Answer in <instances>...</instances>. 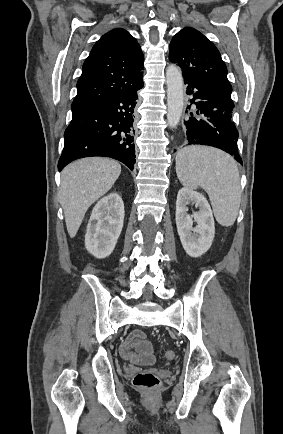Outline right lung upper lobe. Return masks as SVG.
<instances>
[{"instance_id": "obj_1", "label": "right lung upper lobe", "mask_w": 283, "mask_h": 434, "mask_svg": "<svg viewBox=\"0 0 283 434\" xmlns=\"http://www.w3.org/2000/svg\"><path fill=\"white\" fill-rule=\"evenodd\" d=\"M143 61L141 47L129 32L116 28L104 34L83 64L72 111L140 85Z\"/></svg>"}]
</instances>
